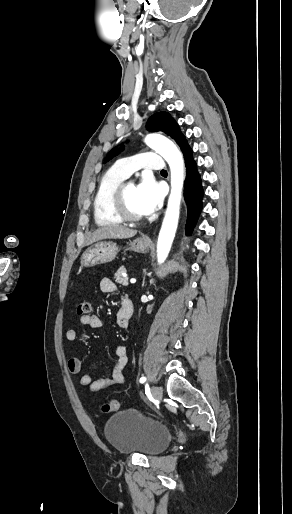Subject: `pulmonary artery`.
I'll return each mask as SVG.
<instances>
[{
	"label": "pulmonary artery",
	"instance_id": "obj_1",
	"mask_svg": "<svg viewBox=\"0 0 292 514\" xmlns=\"http://www.w3.org/2000/svg\"><path fill=\"white\" fill-rule=\"evenodd\" d=\"M165 168L164 159L156 151H137L135 156H119L113 164V169L124 178H129L133 172H161Z\"/></svg>",
	"mask_w": 292,
	"mask_h": 514
}]
</instances>
